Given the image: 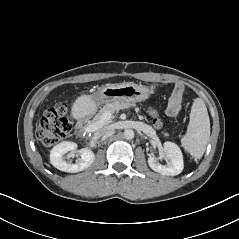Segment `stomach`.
<instances>
[{
    "mask_svg": "<svg viewBox=\"0 0 239 239\" xmlns=\"http://www.w3.org/2000/svg\"><path fill=\"white\" fill-rule=\"evenodd\" d=\"M99 104L111 103L114 101L124 103H136L145 101L150 96V89L133 82L105 85L93 95Z\"/></svg>",
    "mask_w": 239,
    "mask_h": 239,
    "instance_id": "0dacf381",
    "label": "stomach"
}]
</instances>
